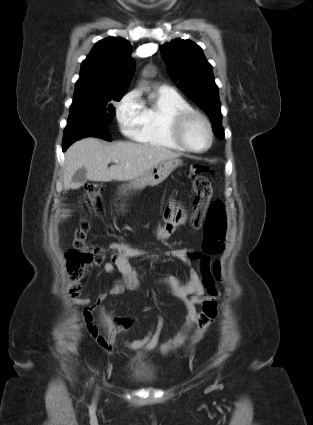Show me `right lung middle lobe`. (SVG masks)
I'll list each match as a JSON object with an SVG mask.
<instances>
[{
    "label": "right lung middle lobe",
    "mask_w": 313,
    "mask_h": 425,
    "mask_svg": "<svg viewBox=\"0 0 313 425\" xmlns=\"http://www.w3.org/2000/svg\"><path fill=\"white\" fill-rule=\"evenodd\" d=\"M124 93L74 98L70 106L68 125L80 116H88L108 123L115 116L113 101H120Z\"/></svg>",
    "instance_id": "right-lung-middle-lobe-1"
}]
</instances>
